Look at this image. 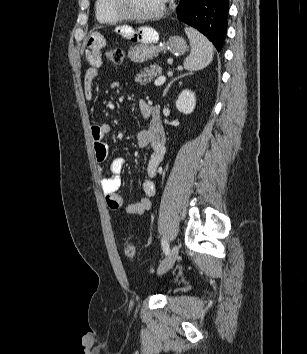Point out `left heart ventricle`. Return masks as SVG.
Instances as JSON below:
<instances>
[{
    "label": "left heart ventricle",
    "mask_w": 307,
    "mask_h": 354,
    "mask_svg": "<svg viewBox=\"0 0 307 354\" xmlns=\"http://www.w3.org/2000/svg\"><path fill=\"white\" fill-rule=\"evenodd\" d=\"M164 0H124L125 8L137 14L152 13L157 11Z\"/></svg>",
    "instance_id": "obj_1"
}]
</instances>
